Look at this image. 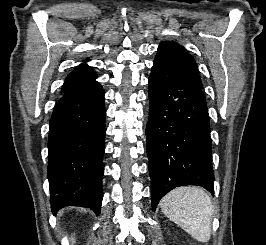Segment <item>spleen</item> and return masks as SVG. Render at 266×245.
<instances>
[{
  "instance_id": "1",
  "label": "spleen",
  "mask_w": 266,
  "mask_h": 245,
  "mask_svg": "<svg viewBox=\"0 0 266 245\" xmlns=\"http://www.w3.org/2000/svg\"><path fill=\"white\" fill-rule=\"evenodd\" d=\"M167 219L182 227L199 243H208L211 237L213 205L204 189L178 187L160 203Z\"/></svg>"
}]
</instances>
